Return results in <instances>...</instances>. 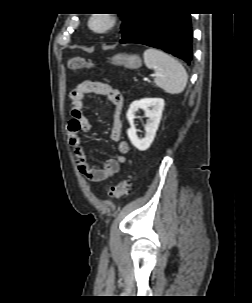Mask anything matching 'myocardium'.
Segmentation results:
<instances>
[{
  "label": "myocardium",
  "mask_w": 252,
  "mask_h": 303,
  "mask_svg": "<svg viewBox=\"0 0 252 303\" xmlns=\"http://www.w3.org/2000/svg\"><path fill=\"white\" fill-rule=\"evenodd\" d=\"M117 24V18L112 14H93L88 18L89 28L99 34L107 33Z\"/></svg>",
  "instance_id": "f54148a6"
}]
</instances>
